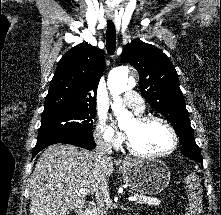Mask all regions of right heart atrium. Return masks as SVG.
I'll return each instance as SVG.
<instances>
[{
	"mask_svg": "<svg viewBox=\"0 0 221 215\" xmlns=\"http://www.w3.org/2000/svg\"><path fill=\"white\" fill-rule=\"evenodd\" d=\"M94 138L99 145L112 148L119 147L123 140L122 135L112 130L103 117L99 118L94 131Z\"/></svg>",
	"mask_w": 221,
	"mask_h": 215,
	"instance_id": "d8ad5b80",
	"label": "right heart atrium"
}]
</instances>
